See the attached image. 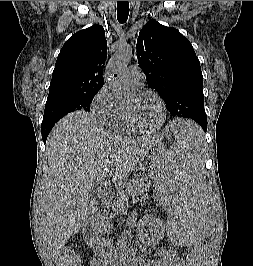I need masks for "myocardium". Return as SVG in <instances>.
Masks as SVG:
<instances>
[{"label": "myocardium", "mask_w": 253, "mask_h": 266, "mask_svg": "<svg viewBox=\"0 0 253 266\" xmlns=\"http://www.w3.org/2000/svg\"><path fill=\"white\" fill-rule=\"evenodd\" d=\"M131 95L133 98H139V97L144 96V95H153L159 101L161 109H162V119H161V122L159 123V125H157L154 128H143L140 126V124L137 121V118L135 116V112L133 110L132 105L130 103H126V105H125L126 113H127L131 127L136 132L143 133V134H152V133H156V132L160 131L165 126V124L167 122V106H166L165 100L160 95V93H158L157 91L152 90V89H140V90L134 91Z\"/></svg>", "instance_id": "obj_1"}]
</instances>
